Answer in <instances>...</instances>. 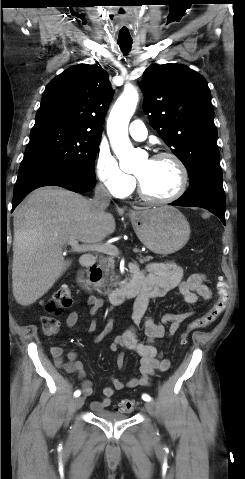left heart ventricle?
I'll return each mask as SVG.
<instances>
[{"label": "left heart ventricle", "mask_w": 245, "mask_h": 479, "mask_svg": "<svg viewBox=\"0 0 245 479\" xmlns=\"http://www.w3.org/2000/svg\"><path fill=\"white\" fill-rule=\"evenodd\" d=\"M145 191L158 198L167 197L175 192L179 183V171L169 158L145 159L136 173Z\"/></svg>", "instance_id": "obj_1"}]
</instances>
